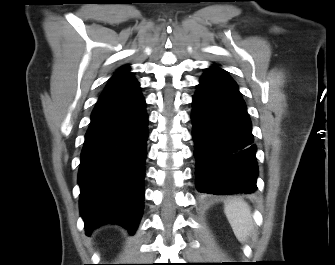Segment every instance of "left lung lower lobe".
<instances>
[{
    "instance_id": "1",
    "label": "left lung lower lobe",
    "mask_w": 335,
    "mask_h": 265,
    "mask_svg": "<svg viewBox=\"0 0 335 265\" xmlns=\"http://www.w3.org/2000/svg\"><path fill=\"white\" fill-rule=\"evenodd\" d=\"M191 119L198 191L254 192L258 166L251 121L237 84L220 67L207 68L201 77Z\"/></svg>"
}]
</instances>
